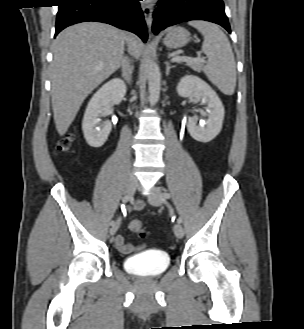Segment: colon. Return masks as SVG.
<instances>
[{
    "label": "colon",
    "instance_id": "1",
    "mask_svg": "<svg viewBox=\"0 0 304 329\" xmlns=\"http://www.w3.org/2000/svg\"><path fill=\"white\" fill-rule=\"evenodd\" d=\"M73 141L74 138L71 134L66 135L58 142L56 146V152L59 154H65L70 152L72 150ZM129 229L141 238H144L146 236L144 227L139 220H131L129 223Z\"/></svg>",
    "mask_w": 304,
    "mask_h": 329
}]
</instances>
